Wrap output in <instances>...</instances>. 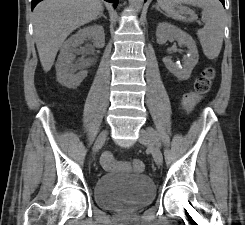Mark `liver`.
<instances>
[{
  "label": "liver",
  "instance_id": "1",
  "mask_svg": "<svg viewBox=\"0 0 245 225\" xmlns=\"http://www.w3.org/2000/svg\"><path fill=\"white\" fill-rule=\"evenodd\" d=\"M100 0H43L34 9V36L43 70L54 64L59 48L70 33L98 18Z\"/></svg>",
  "mask_w": 245,
  "mask_h": 225
}]
</instances>
